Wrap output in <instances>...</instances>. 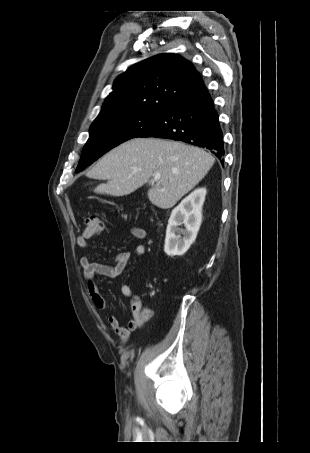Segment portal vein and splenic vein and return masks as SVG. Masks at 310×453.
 <instances>
[{
	"label": "portal vein and splenic vein",
	"mask_w": 310,
	"mask_h": 453,
	"mask_svg": "<svg viewBox=\"0 0 310 453\" xmlns=\"http://www.w3.org/2000/svg\"><path fill=\"white\" fill-rule=\"evenodd\" d=\"M159 179H160V174H156V175L154 176V180L157 181V180H159Z\"/></svg>",
	"instance_id": "obj_1"
}]
</instances>
